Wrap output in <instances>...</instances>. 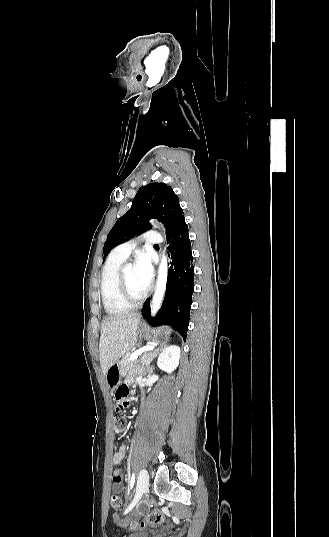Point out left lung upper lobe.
<instances>
[{"label": "left lung upper lobe", "mask_w": 329, "mask_h": 537, "mask_svg": "<svg viewBox=\"0 0 329 537\" xmlns=\"http://www.w3.org/2000/svg\"><path fill=\"white\" fill-rule=\"evenodd\" d=\"M158 219L166 228L167 240L185 222L179 199L172 188L164 183H152L141 187L133 199L130 210L120 217L107 236L105 256L117 245L149 230L150 219Z\"/></svg>", "instance_id": "left-lung-upper-lobe-1"}]
</instances>
